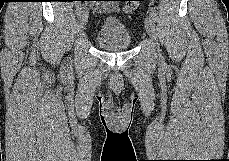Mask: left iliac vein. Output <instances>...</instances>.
Returning a JSON list of instances; mask_svg holds the SVG:
<instances>
[{
	"label": "left iliac vein",
	"instance_id": "4c4485c4",
	"mask_svg": "<svg viewBox=\"0 0 229 161\" xmlns=\"http://www.w3.org/2000/svg\"><path fill=\"white\" fill-rule=\"evenodd\" d=\"M145 28L150 38L153 41H155L157 44V34H156L155 23H154V20L150 16L146 17L145 19ZM157 50H159L158 47H157Z\"/></svg>",
	"mask_w": 229,
	"mask_h": 161
}]
</instances>
